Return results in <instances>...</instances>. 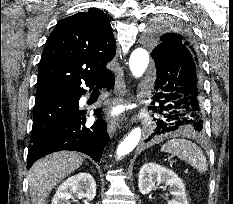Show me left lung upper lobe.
<instances>
[{
    "mask_svg": "<svg viewBox=\"0 0 233 204\" xmlns=\"http://www.w3.org/2000/svg\"><path fill=\"white\" fill-rule=\"evenodd\" d=\"M148 43L152 48L151 56L155 61L156 54L164 48L180 49L194 62L201 76L200 60L192 35L184 29L169 24H154L148 35Z\"/></svg>",
    "mask_w": 233,
    "mask_h": 204,
    "instance_id": "obj_1",
    "label": "left lung upper lobe"
}]
</instances>
